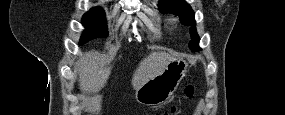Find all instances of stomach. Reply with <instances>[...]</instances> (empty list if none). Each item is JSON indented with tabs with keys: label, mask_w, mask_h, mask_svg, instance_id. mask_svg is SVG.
<instances>
[{
	"label": "stomach",
	"mask_w": 285,
	"mask_h": 115,
	"mask_svg": "<svg viewBox=\"0 0 285 115\" xmlns=\"http://www.w3.org/2000/svg\"><path fill=\"white\" fill-rule=\"evenodd\" d=\"M188 64L185 59L170 61L164 71L149 79L136 90L135 98L145 106H157L168 100L185 76Z\"/></svg>",
	"instance_id": "0dacf381"
}]
</instances>
